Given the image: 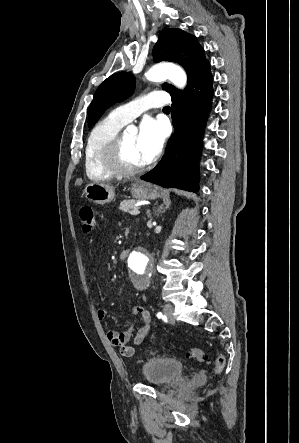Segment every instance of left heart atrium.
<instances>
[{"label": "left heart atrium", "mask_w": 299, "mask_h": 443, "mask_svg": "<svg viewBox=\"0 0 299 443\" xmlns=\"http://www.w3.org/2000/svg\"><path fill=\"white\" fill-rule=\"evenodd\" d=\"M164 140V127L160 120L147 117L141 125L137 138L138 149L144 164L159 154Z\"/></svg>", "instance_id": "left-heart-atrium-1"}]
</instances>
